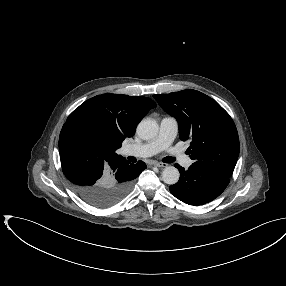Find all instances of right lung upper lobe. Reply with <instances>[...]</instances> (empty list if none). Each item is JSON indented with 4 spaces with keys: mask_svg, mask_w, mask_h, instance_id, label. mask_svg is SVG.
<instances>
[{
    "mask_svg": "<svg viewBox=\"0 0 286 286\" xmlns=\"http://www.w3.org/2000/svg\"><path fill=\"white\" fill-rule=\"evenodd\" d=\"M155 107L147 97L102 94L76 108L64 126L89 133L105 156L117 159L122 156L116 150L125 138L135 134L138 122Z\"/></svg>",
    "mask_w": 286,
    "mask_h": 286,
    "instance_id": "obj_1",
    "label": "right lung upper lobe"
}]
</instances>
